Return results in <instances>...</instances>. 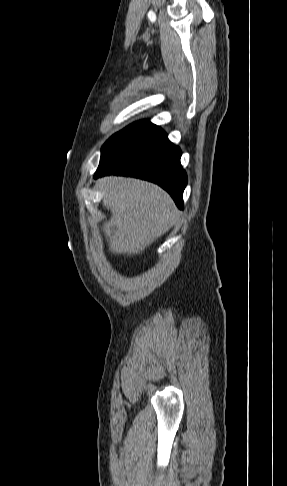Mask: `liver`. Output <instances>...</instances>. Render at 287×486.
I'll use <instances>...</instances> for the list:
<instances>
[{"instance_id":"liver-1","label":"liver","mask_w":287,"mask_h":486,"mask_svg":"<svg viewBox=\"0 0 287 486\" xmlns=\"http://www.w3.org/2000/svg\"><path fill=\"white\" fill-rule=\"evenodd\" d=\"M102 183L103 206L112 214L104 224L112 253L140 254L174 225L178 211L157 185L119 176L105 177Z\"/></svg>"}]
</instances>
